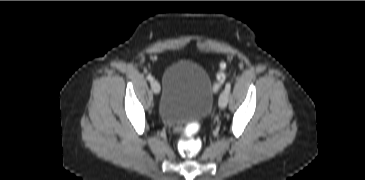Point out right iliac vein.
I'll list each match as a JSON object with an SVG mask.
<instances>
[{
    "mask_svg": "<svg viewBox=\"0 0 365 180\" xmlns=\"http://www.w3.org/2000/svg\"><path fill=\"white\" fill-rule=\"evenodd\" d=\"M151 88H152V90H153V92L155 94H159L160 93V85H159V83L156 80H153L151 82Z\"/></svg>",
    "mask_w": 365,
    "mask_h": 180,
    "instance_id": "right-iliac-vein-1",
    "label": "right iliac vein"
}]
</instances>
